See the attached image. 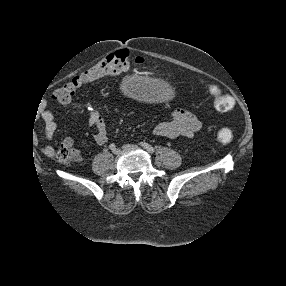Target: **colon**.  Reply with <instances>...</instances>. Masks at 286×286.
I'll list each match as a JSON object with an SVG mask.
<instances>
[{"instance_id": "colon-1", "label": "colon", "mask_w": 286, "mask_h": 286, "mask_svg": "<svg viewBox=\"0 0 286 286\" xmlns=\"http://www.w3.org/2000/svg\"><path fill=\"white\" fill-rule=\"evenodd\" d=\"M142 63V58H132L127 50L115 51L55 90L52 98L57 103L67 104L80 88L107 75L124 74L133 66H138ZM209 89L215 95L214 106L216 110L219 112L233 110L235 106L233 97L221 94L219 87L216 85H210ZM215 137L220 144L228 145L234 140V132L231 128L222 126L217 129ZM55 156L59 161L66 162L71 159V152L67 147L61 146L57 149Z\"/></svg>"}]
</instances>
